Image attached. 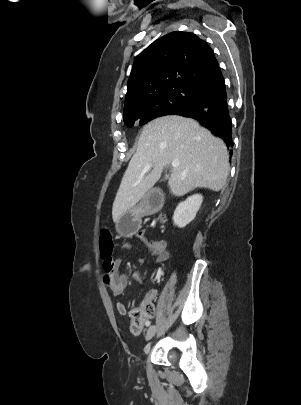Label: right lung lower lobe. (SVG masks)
Returning <instances> with one entry per match:
<instances>
[{"label":"right lung lower lobe","instance_id":"98d812e1","mask_svg":"<svg viewBox=\"0 0 301 405\" xmlns=\"http://www.w3.org/2000/svg\"><path fill=\"white\" fill-rule=\"evenodd\" d=\"M170 115L196 119L203 127L209 129L215 136L220 137L228 148L233 147L232 122L224 82L206 93L199 101L178 108Z\"/></svg>","mask_w":301,"mask_h":405}]
</instances>
